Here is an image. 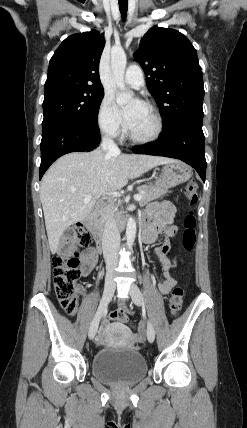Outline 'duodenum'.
<instances>
[{"instance_id":"obj_1","label":"duodenum","mask_w":247,"mask_h":428,"mask_svg":"<svg viewBox=\"0 0 247 428\" xmlns=\"http://www.w3.org/2000/svg\"><path fill=\"white\" fill-rule=\"evenodd\" d=\"M100 208H101V204H98L96 209L89 216H87L84 220V224L93 234V237L95 240V245H96V248L98 251H102L104 244H105L104 234L102 233L101 229L99 228V225L97 222L98 212H99ZM140 225L143 227L144 222L141 221Z\"/></svg>"}]
</instances>
